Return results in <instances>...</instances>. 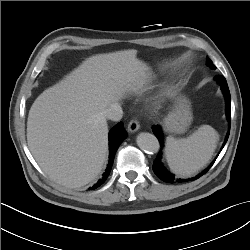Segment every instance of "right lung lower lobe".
Segmentation results:
<instances>
[{"instance_id": "98d812e1", "label": "right lung lower lobe", "mask_w": 250, "mask_h": 250, "mask_svg": "<svg viewBox=\"0 0 250 250\" xmlns=\"http://www.w3.org/2000/svg\"><path fill=\"white\" fill-rule=\"evenodd\" d=\"M127 137V133L123 128V123L119 122L117 125H115L109 132V149H110V155H109V162L107 165V168L105 172L102 175V178L99 179V181L92 186L90 189H96L97 187L101 186L107 177L110 174L115 153L119 147V145L123 142V140Z\"/></svg>"}]
</instances>
